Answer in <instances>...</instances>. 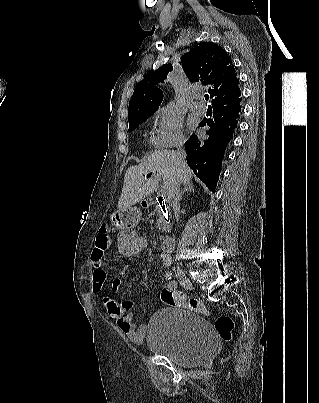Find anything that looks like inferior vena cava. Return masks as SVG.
<instances>
[{
  "instance_id": "inferior-vena-cava-1",
  "label": "inferior vena cava",
  "mask_w": 319,
  "mask_h": 403,
  "mask_svg": "<svg viewBox=\"0 0 319 403\" xmlns=\"http://www.w3.org/2000/svg\"><path fill=\"white\" fill-rule=\"evenodd\" d=\"M184 139H179L176 145V159L179 163L183 162L185 157H186V152L183 148L184 146ZM179 188H180V182L176 181L171 190H170V198L172 199V207L174 210V214L176 219H178V213H179V209H180V205H179Z\"/></svg>"
}]
</instances>
